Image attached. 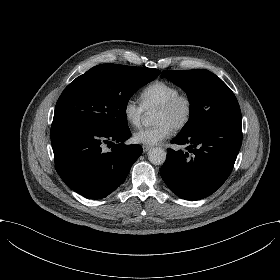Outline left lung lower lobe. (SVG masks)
<instances>
[{
    "label": "left lung lower lobe",
    "instance_id": "0a47b994",
    "mask_svg": "<svg viewBox=\"0 0 280 280\" xmlns=\"http://www.w3.org/2000/svg\"><path fill=\"white\" fill-rule=\"evenodd\" d=\"M172 142L188 144V152L168 149L167 159L160 169L162 179L183 199L205 198L224 183L233 169L242 143L241 117L179 134Z\"/></svg>",
    "mask_w": 280,
    "mask_h": 280
}]
</instances>
